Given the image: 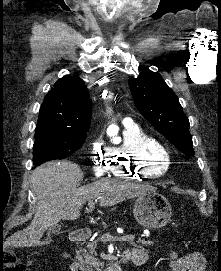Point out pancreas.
Instances as JSON below:
<instances>
[{
	"mask_svg": "<svg viewBox=\"0 0 221 271\" xmlns=\"http://www.w3.org/2000/svg\"><path fill=\"white\" fill-rule=\"evenodd\" d=\"M104 234H111L110 231H106L103 233L101 239H104ZM155 239H135V244H141L142 247H152V244H155ZM96 241H91V243H87L86 247H79L78 251H76V259L80 261V263H84L86 267H89L88 271H101L100 265H104L101 259L95 257Z\"/></svg>",
	"mask_w": 221,
	"mask_h": 271,
	"instance_id": "cf45deb5",
	"label": "pancreas"
}]
</instances>
